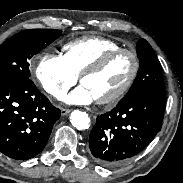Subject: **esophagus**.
I'll return each mask as SVG.
<instances>
[{
    "mask_svg": "<svg viewBox=\"0 0 183 183\" xmlns=\"http://www.w3.org/2000/svg\"><path fill=\"white\" fill-rule=\"evenodd\" d=\"M71 112V109H61V115L64 116V115H67Z\"/></svg>",
    "mask_w": 183,
    "mask_h": 183,
    "instance_id": "esophagus-1",
    "label": "esophagus"
}]
</instances>
